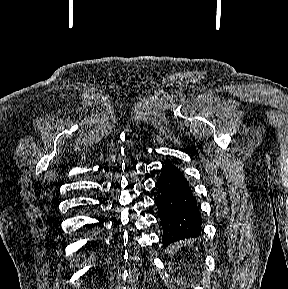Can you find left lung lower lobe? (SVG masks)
Returning <instances> with one entry per match:
<instances>
[{
  "mask_svg": "<svg viewBox=\"0 0 288 289\" xmlns=\"http://www.w3.org/2000/svg\"><path fill=\"white\" fill-rule=\"evenodd\" d=\"M155 199L163 228L164 247L201 233V215L187 179L172 163L162 166Z\"/></svg>",
  "mask_w": 288,
  "mask_h": 289,
  "instance_id": "1",
  "label": "left lung lower lobe"
}]
</instances>
